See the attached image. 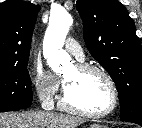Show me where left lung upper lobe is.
<instances>
[{
  "label": "left lung upper lobe",
  "instance_id": "obj_1",
  "mask_svg": "<svg viewBox=\"0 0 142 128\" xmlns=\"http://www.w3.org/2000/svg\"><path fill=\"white\" fill-rule=\"evenodd\" d=\"M90 54L110 74L121 121H142V52L135 24L118 0H77Z\"/></svg>",
  "mask_w": 142,
  "mask_h": 128
}]
</instances>
